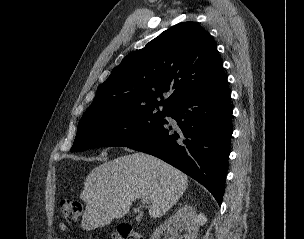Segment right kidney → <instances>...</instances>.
<instances>
[{
    "label": "right kidney",
    "mask_w": 304,
    "mask_h": 239,
    "mask_svg": "<svg viewBox=\"0 0 304 239\" xmlns=\"http://www.w3.org/2000/svg\"><path fill=\"white\" fill-rule=\"evenodd\" d=\"M205 221L206 218L203 215H197L195 209L186 204L156 228L152 238H157L166 230L167 239H197L199 227L203 225ZM183 231H185V233H183Z\"/></svg>",
    "instance_id": "ca27d5eb"
}]
</instances>
